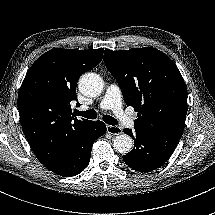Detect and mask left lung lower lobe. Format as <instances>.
Here are the masks:
<instances>
[{
    "instance_id": "1",
    "label": "left lung lower lobe",
    "mask_w": 215,
    "mask_h": 215,
    "mask_svg": "<svg viewBox=\"0 0 215 215\" xmlns=\"http://www.w3.org/2000/svg\"><path fill=\"white\" fill-rule=\"evenodd\" d=\"M134 139V148L123 156L125 163L139 172L161 167L174 152L182 134L124 129Z\"/></svg>"
}]
</instances>
